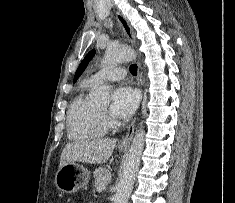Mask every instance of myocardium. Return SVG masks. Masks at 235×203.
<instances>
[{
  "mask_svg": "<svg viewBox=\"0 0 235 203\" xmlns=\"http://www.w3.org/2000/svg\"><path fill=\"white\" fill-rule=\"evenodd\" d=\"M100 113H101V115H102V118H103L104 122H105L106 124H110V122H109V120H108V118H107V116H106V112H105L104 110H100Z\"/></svg>",
  "mask_w": 235,
  "mask_h": 203,
  "instance_id": "myocardium-1",
  "label": "myocardium"
}]
</instances>
